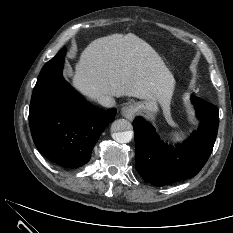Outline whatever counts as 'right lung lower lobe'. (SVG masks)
I'll use <instances>...</instances> for the list:
<instances>
[{
    "mask_svg": "<svg viewBox=\"0 0 233 233\" xmlns=\"http://www.w3.org/2000/svg\"><path fill=\"white\" fill-rule=\"evenodd\" d=\"M66 48L43 67L34 87L29 124L37 149L66 168L90 160L93 146L116 110H101L88 104L65 81L62 68Z\"/></svg>",
    "mask_w": 233,
    "mask_h": 233,
    "instance_id": "98d812e1",
    "label": "right lung lower lobe"
}]
</instances>
